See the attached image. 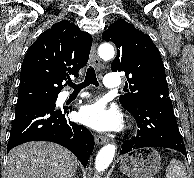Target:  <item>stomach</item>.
<instances>
[{"instance_id": "obj_1", "label": "stomach", "mask_w": 194, "mask_h": 178, "mask_svg": "<svg viewBox=\"0 0 194 178\" xmlns=\"http://www.w3.org/2000/svg\"><path fill=\"white\" fill-rule=\"evenodd\" d=\"M160 167V155L150 147L137 149L120 158V169L130 178H153Z\"/></svg>"}]
</instances>
